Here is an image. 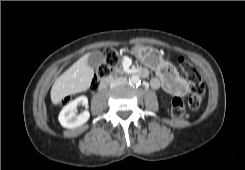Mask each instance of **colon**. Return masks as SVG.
<instances>
[{
    "label": "colon",
    "mask_w": 245,
    "mask_h": 170,
    "mask_svg": "<svg viewBox=\"0 0 245 170\" xmlns=\"http://www.w3.org/2000/svg\"><path fill=\"white\" fill-rule=\"evenodd\" d=\"M117 54L115 50L109 48L105 51L104 60L99 66L96 74L95 83L106 77L111 69L116 65ZM180 67L183 73L191 82V96L188 100V106L192 110L198 109L202 97L205 93V84L201 74L196 70L194 65L186 59H180ZM70 98L64 102L69 101ZM185 112V103L181 98H175L172 105L171 114L174 118H181Z\"/></svg>",
    "instance_id": "colon-1"
}]
</instances>
